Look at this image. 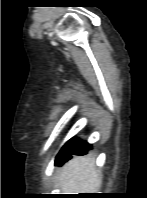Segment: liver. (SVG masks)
Instances as JSON below:
<instances>
[{"label":"liver","instance_id":"liver-1","mask_svg":"<svg viewBox=\"0 0 147 198\" xmlns=\"http://www.w3.org/2000/svg\"><path fill=\"white\" fill-rule=\"evenodd\" d=\"M56 184L63 194L96 193L101 186V173L92 157H75L61 168Z\"/></svg>","mask_w":147,"mask_h":198}]
</instances>
